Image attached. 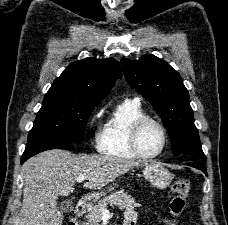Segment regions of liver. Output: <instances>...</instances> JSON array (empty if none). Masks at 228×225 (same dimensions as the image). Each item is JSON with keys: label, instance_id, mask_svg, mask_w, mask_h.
<instances>
[{"label": "liver", "instance_id": "liver-1", "mask_svg": "<svg viewBox=\"0 0 228 225\" xmlns=\"http://www.w3.org/2000/svg\"><path fill=\"white\" fill-rule=\"evenodd\" d=\"M140 165L104 155H72L63 149L39 153L22 167L23 205L16 225H62L58 197L73 193L77 177H86L84 187L96 191Z\"/></svg>", "mask_w": 228, "mask_h": 225}]
</instances>
